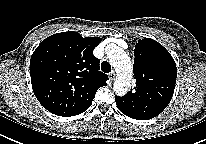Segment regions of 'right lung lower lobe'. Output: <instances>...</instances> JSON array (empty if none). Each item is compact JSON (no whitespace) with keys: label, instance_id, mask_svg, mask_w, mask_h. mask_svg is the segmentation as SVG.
Listing matches in <instances>:
<instances>
[{"label":"right lung lower lobe","instance_id":"1","mask_svg":"<svg viewBox=\"0 0 206 144\" xmlns=\"http://www.w3.org/2000/svg\"><path fill=\"white\" fill-rule=\"evenodd\" d=\"M91 104H92V101H91L89 104H87L83 109H81V110L78 111L77 113L73 114L72 116L78 115V114H80V113H83L84 111H86V110L91 106Z\"/></svg>","mask_w":206,"mask_h":144}]
</instances>
